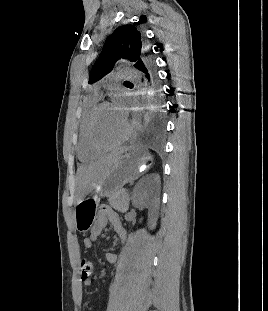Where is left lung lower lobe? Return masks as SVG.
Returning <instances> with one entry per match:
<instances>
[{
  "label": "left lung lower lobe",
  "mask_w": 268,
  "mask_h": 311,
  "mask_svg": "<svg viewBox=\"0 0 268 311\" xmlns=\"http://www.w3.org/2000/svg\"><path fill=\"white\" fill-rule=\"evenodd\" d=\"M137 69L142 76L143 87L149 92L150 107L144 117L143 131L140 132V141H165L167 133L162 132L164 127L165 110L160 97L155 61L151 56L144 55Z\"/></svg>",
  "instance_id": "left-lung-lower-lobe-1"
}]
</instances>
